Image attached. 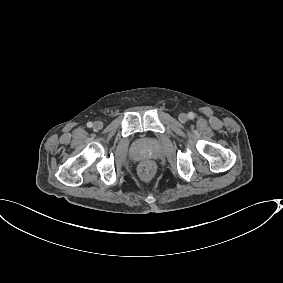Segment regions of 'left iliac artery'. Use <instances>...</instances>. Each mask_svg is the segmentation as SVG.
Returning <instances> with one entry per match:
<instances>
[{
    "mask_svg": "<svg viewBox=\"0 0 283 283\" xmlns=\"http://www.w3.org/2000/svg\"><path fill=\"white\" fill-rule=\"evenodd\" d=\"M188 118H189V119L195 118L194 113H193V112H189V113H188Z\"/></svg>",
    "mask_w": 283,
    "mask_h": 283,
    "instance_id": "1",
    "label": "left iliac artery"
}]
</instances>
